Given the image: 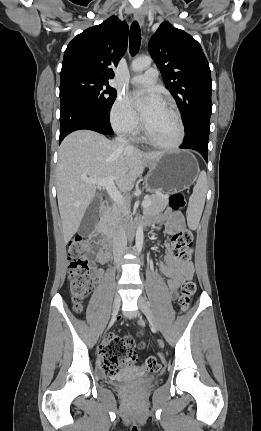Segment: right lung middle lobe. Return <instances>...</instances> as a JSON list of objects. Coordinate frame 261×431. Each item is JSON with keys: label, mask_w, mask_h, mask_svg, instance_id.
<instances>
[{"label": "right lung middle lobe", "mask_w": 261, "mask_h": 431, "mask_svg": "<svg viewBox=\"0 0 261 431\" xmlns=\"http://www.w3.org/2000/svg\"><path fill=\"white\" fill-rule=\"evenodd\" d=\"M116 96V90L108 81L95 76L73 73L61 77L60 98L81 102L97 112H110Z\"/></svg>", "instance_id": "dd1d6c3e"}]
</instances>
